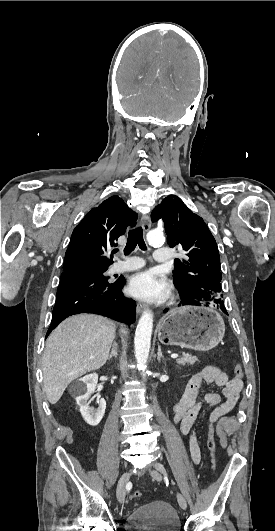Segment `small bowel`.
I'll use <instances>...</instances> for the list:
<instances>
[{"label": "small bowel", "mask_w": 275, "mask_h": 531, "mask_svg": "<svg viewBox=\"0 0 275 531\" xmlns=\"http://www.w3.org/2000/svg\"><path fill=\"white\" fill-rule=\"evenodd\" d=\"M211 384L222 389L224 401L217 392L203 393V387ZM242 388L241 379L229 378L224 371L215 366H208L190 377L181 400L173 408V414L181 433L189 437L190 457L193 463L198 464L201 460L197 435V419L200 412L205 406L215 407L208 421L214 418L218 422L234 409Z\"/></svg>", "instance_id": "1"}]
</instances>
